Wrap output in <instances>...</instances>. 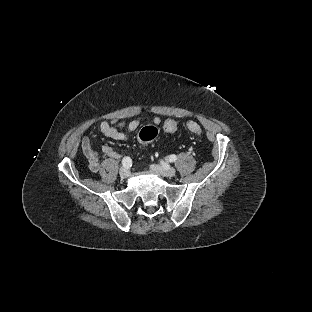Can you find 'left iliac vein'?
I'll list each match as a JSON object with an SVG mask.
<instances>
[{
  "label": "left iliac vein",
  "instance_id": "1",
  "mask_svg": "<svg viewBox=\"0 0 312 312\" xmlns=\"http://www.w3.org/2000/svg\"><path fill=\"white\" fill-rule=\"evenodd\" d=\"M151 169L159 176L173 177L176 174V170L169 166L152 165Z\"/></svg>",
  "mask_w": 312,
  "mask_h": 312
}]
</instances>
